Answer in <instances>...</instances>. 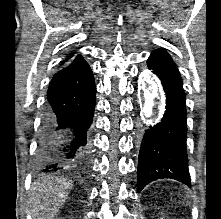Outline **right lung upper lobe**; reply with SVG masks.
I'll use <instances>...</instances> for the list:
<instances>
[{
	"mask_svg": "<svg viewBox=\"0 0 221 219\" xmlns=\"http://www.w3.org/2000/svg\"><path fill=\"white\" fill-rule=\"evenodd\" d=\"M78 56V55H77ZM77 56H74L73 54H70L64 61H63V63H65V64H68V63H70L75 57H77Z\"/></svg>",
	"mask_w": 221,
	"mask_h": 219,
	"instance_id": "cb5924a9",
	"label": "right lung upper lobe"
}]
</instances>
